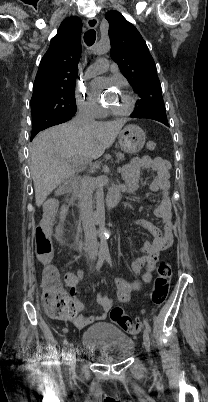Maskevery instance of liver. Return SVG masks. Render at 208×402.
<instances>
[{
  "instance_id": "6515ba94",
  "label": "liver",
  "mask_w": 208,
  "mask_h": 402,
  "mask_svg": "<svg viewBox=\"0 0 208 402\" xmlns=\"http://www.w3.org/2000/svg\"><path fill=\"white\" fill-rule=\"evenodd\" d=\"M125 122H93L80 128L69 122L40 132L30 150L36 206L40 208L59 184L75 174L72 164L100 158L114 144Z\"/></svg>"
}]
</instances>
